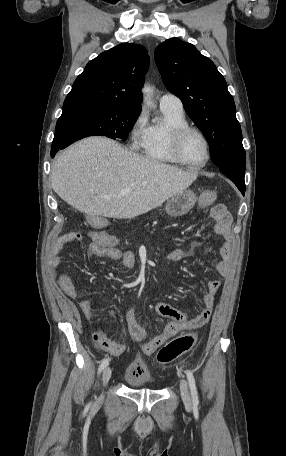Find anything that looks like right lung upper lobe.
I'll return each mask as SVG.
<instances>
[{
  "instance_id": "obj_1",
  "label": "right lung upper lobe",
  "mask_w": 286,
  "mask_h": 456,
  "mask_svg": "<svg viewBox=\"0 0 286 456\" xmlns=\"http://www.w3.org/2000/svg\"><path fill=\"white\" fill-rule=\"evenodd\" d=\"M148 67L149 56L143 46L120 44L86 65L65 100L91 99L141 108V86Z\"/></svg>"
}]
</instances>
